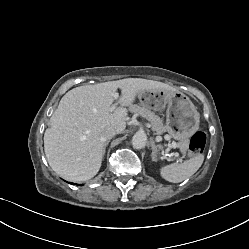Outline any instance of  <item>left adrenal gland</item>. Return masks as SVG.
Here are the masks:
<instances>
[{
    "mask_svg": "<svg viewBox=\"0 0 249 249\" xmlns=\"http://www.w3.org/2000/svg\"><path fill=\"white\" fill-rule=\"evenodd\" d=\"M151 146H152V153H151L152 161H156L157 160V157H156L157 150H156V146H155L153 139H151Z\"/></svg>",
    "mask_w": 249,
    "mask_h": 249,
    "instance_id": "a2214340",
    "label": "left adrenal gland"
}]
</instances>
